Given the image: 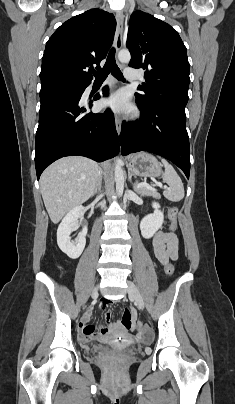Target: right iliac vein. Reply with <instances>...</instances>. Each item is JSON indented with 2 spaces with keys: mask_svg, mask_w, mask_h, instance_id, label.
<instances>
[{
  "mask_svg": "<svg viewBox=\"0 0 235 404\" xmlns=\"http://www.w3.org/2000/svg\"><path fill=\"white\" fill-rule=\"evenodd\" d=\"M97 288H94L93 292H92V297H96L97 296Z\"/></svg>",
  "mask_w": 235,
  "mask_h": 404,
  "instance_id": "right-iliac-vein-1",
  "label": "right iliac vein"
}]
</instances>
